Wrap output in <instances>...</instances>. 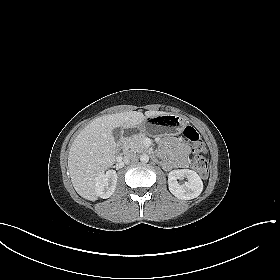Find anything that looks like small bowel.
Instances as JSON below:
<instances>
[{
    "label": "small bowel",
    "instance_id": "small-bowel-1",
    "mask_svg": "<svg viewBox=\"0 0 280 280\" xmlns=\"http://www.w3.org/2000/svg\"><path fill=\"white\" fill-rule=\"evenodd\" d=\"M164 146L171 148L169 157L162 161L164 169H184L188 166L190 148L185 141L179 140L177 142L165 143Z\"/></svg>",
    "mask_w": 280,
    "mask_h": 280
}]
</instances>
